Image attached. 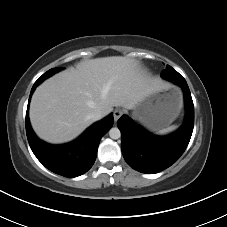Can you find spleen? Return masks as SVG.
Returning a JSON list of instances; mask_svg holds the SVG:
<instances>
[{"mask_svg": "<svg viewBox=\"0 0 227 227\" xmlns=\"http://www.w3.org/2000/svg\"><path fill=\"white\" fill-rule=\"evenodd\" d=\"M175 129H176V126H175V125H172V126H169V127H167V128H164V129H162V130H159V131L157 132V134H159V135H164V134H167V133H169V132L174 131Z\"/></svg>", "mask_w": 227, "mask_h": 227, "instance_id": "spleen-1", "label": "spleen"}]
</instances>
